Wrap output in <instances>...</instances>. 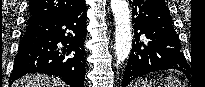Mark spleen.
<instances>
[{"mask_svg": "<svg viewBox=\"0 0 205 87\" xmlns=\"http://www.w3.org/2000/svg\"><path fill=\"white\" fill-rule=\"evenodd\" d=\"M165 87H182V84L176 78L168 76L165 80Z\"/></svg>", "mask_w": 205, "mask_h": 87, "instance_id": "obj_1", "label": "spleen"}]
</instances>
